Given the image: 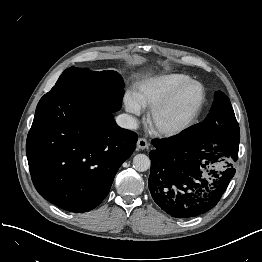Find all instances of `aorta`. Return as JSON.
I'll list each match as a JSON object with an SVG mask.
<instances>
[{
	"mask_svg": "<svg viewBox=\"0 0 262 262\" xmlns=\"http://www.w3.org/2000/svg\"><path fill=\"white\" fill-rule=\"evenodd\" d=\"M150 165L151 161L145 154H137L133 158V167L139 172L147 171Z\"/></svg>",
	"mask_w": 262,
	"mask_h": 262,
	"instance_id": "obj_1",
	"label": "aorta"
}]
</instances>
